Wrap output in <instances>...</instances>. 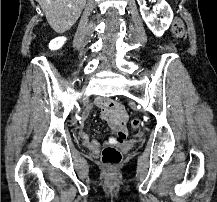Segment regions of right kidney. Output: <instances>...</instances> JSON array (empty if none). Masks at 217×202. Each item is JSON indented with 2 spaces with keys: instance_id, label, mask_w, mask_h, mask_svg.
<instances>
[{
  "instance_id": "right-kidney-1",
  "label": "right kidney",
  "mask_w": 217,
  "mask_h": 202,
  "mask_svg": "<svg viewBox=\"0 0 217 202\" xmlns=\"http://www.w3.org/2000/svg\"><path fill=\"white\" fill-rule=\"evenodd\" d=\"M66 38H54L49 44L50 50H59L65 44Z\"/></svg>"
}]
</instances>
